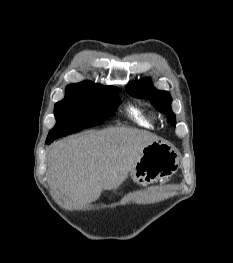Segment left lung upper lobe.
<instances>
[{
    "label": "left lung upper lobe",
    "instance_id": "left-lung-upper-lobe-1",
    "mask_svg": "<svg viewBox=\"0 0 233 263\" xmlns=\"http://www.w3.org/2000/svg\"><path fill=\"white\" fill-rule=\"evenodd\" d=\"M128 94L137 98H149L152 105L167 115L169 121L175 125V115L171 110V96L167 91L156 90L149 78H144L126 86Z\"/></svg>",
    "mask_w": 233,
    "mask_h": 263
}]
</instances>
